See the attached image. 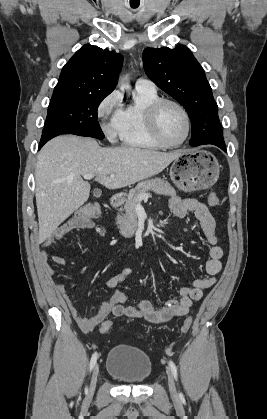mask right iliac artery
<instances>
[{
	"label": "right iliac artery",
	"instance_id": "1",
	"mask_svg": "<svg viewBox=\"0 0 267 419\" xmlns=\"http://www.w3.org/2000/svg\"><path fill=\"white\" fill-rule=\"evenodd\" d=\"M97 358H98V354H97V352H95L92 355L91 360H90V371L94 368V366L96 364V361H97Z\"/></svg>",
	"mask_w": 267,
	"mask_h": 419
}]
</instances>
